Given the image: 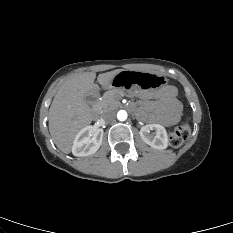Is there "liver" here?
<instances>
[{
	"mask_svg": "<svg viewBox=\"0 0 233 233\" xmlns=\"http://www.w3.org/2000/svg\"><path fill=\"white\" fill-rule=\"evenodd\" d=\"M122 69L99 74L98 83L106 87ZM96 73L84 72L66 80L57 91L49 110V132L55 145L65 154L71 152L76 134L92 121L85 97L97 89Z\"/></svg>",
	"mask_w": 233,
	"mask_h": 233,
	"instance_id": "obj_1",
	"label": "liver"
}]
</instances>
